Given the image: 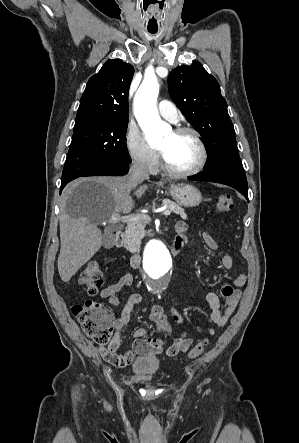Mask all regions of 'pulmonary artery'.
<instances>
[{
  "label": "pulmonary artery",
  "instance_id": "pulmonary-artery-1",
  "mask_svg": "<svg viewBox=\"0 0 299 443\" xmlns=\"http://www.w3.org/2000/svg\"><path fill=\"white\" fill-rule=\"evenodd\" d=\"M158 111L163 118L171 122H176L178 119V112L176 106L168 100H161L159 102Z\"/></svg>",
  "mask_w": 299,
  "mask_h": 443
}]
</instances>
